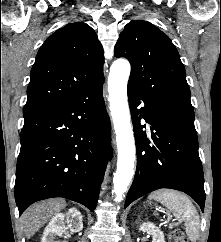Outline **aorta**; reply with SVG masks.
I'll return each mask as SVG.
<instances>
[{
  "mask_svg": "<svg viewBox=\"0 0 221 242\" xmlns=\"http://www.w3.org/2000/svg\"><path fill=\"white\" fill-rule=\"evenodd\" d=\"M130 71V63L125 59H118L111 65L108 76V99L118 150L117 170L113 177V192L115 200L118 202L123 200L134 175L135 140L127 99Z\"/></svg>",
  "mask_w": 221,
  "mask_h": 242,
  "instance_id": "aorta-1",
  "label": "aorta"
}]
</instances>
